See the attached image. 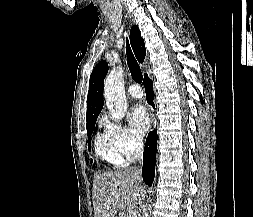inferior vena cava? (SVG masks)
<instances>
[{
	"mask_svg": "<svg viewBox=\"0 0 253 217\" xmlns=\"http://www.w3.org/2000/svg\"><path fill=\"white\" fill-rule=\"evenodd\" d=\"M142 161H143V143L142 139L139 138L136 140L135 145V162L137 163V165L126 169V172L130 174L133 179L141 180Z\"/></svg>",
	"mask_w": 253,
	"mask_h": 217,
	"instance_id": "obj_1",
	"label": "inferior vena cava"
}]
</instances>
